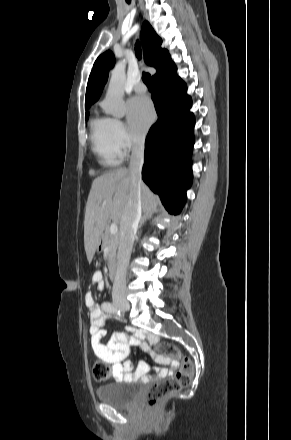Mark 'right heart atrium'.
<instances>
[{"label": "right heart atrium", "instance_id": "d8ad5b80", "mask_svg": "<svg viewBox=\"0 0 291 440\" xmlns=\"http://www.w3.org/2000/svg\"><path fill=\"white\" fill-rule=\"evenodd\" d=\"M112 134L115 146L122 155L141 142V139L133 135L120 119H112Z\"/></svg>", "mask_w": 291, "mask_h": 440}]
</instances>
